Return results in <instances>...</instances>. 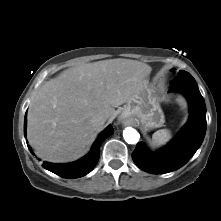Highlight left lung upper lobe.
<instances>
[{
  "label": "left lung upper lobe",
  "mask_w": 221,
  "mask_h": 221,
  "mask_svg": "<svg viewBox=\"0 0 221 221\" xmlns=\"http://www.w3.org/2000/svg\"><path fill=\"white\" fill-rule=\"evenodd\" d=\"M172 71H174V70H172ZM187 75H190V74L186 71L181 70L176 74L175 79L178 77H183V76H187Z\"/></svg>",
  "instance_id": "5c2ea615"
}]
</instances>
